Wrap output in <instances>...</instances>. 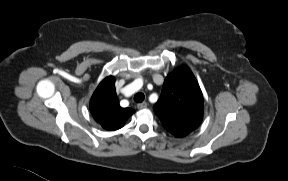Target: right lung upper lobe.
<instances>
[{
  "label": "right lung upper lobe",
  "mask_w": 288,
  "mask_h": 181,
  "mask_svg": "<svg viewBox=\"0 0 288 181\" xmlns=\"http://www.w3.org/2000/svg\"><path fill=\"white\" fill-rule=\"evenodd\" d=\"M90 109L94 119L106 130L123 127L127 118L134 113L131 108L120 107L112 76L100 83L91 98Z\"/></svg>",
  "instance_id": "obj_1"
}]
</instances>
